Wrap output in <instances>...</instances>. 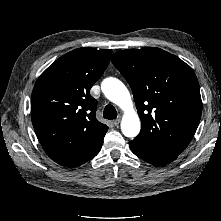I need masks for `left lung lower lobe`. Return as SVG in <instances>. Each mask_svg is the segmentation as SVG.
<instances>
[{"mask_svg": "<svg viewBox=\"0 0 221 221\" xmlns=\"http://www.w3.org/2000/svg\"><path fill=\"white\" fill-rule=\"evenodd\" d=\"M129 146L132 152L138 156L139 158L145 160L146 162L154 165H164L169 162H172L177 158L179 154L166 152V151H159V150H151L142 148L129 143Z\"/></svg>", "mask_w": 221, "mask_h": 221, "instance_id": "0a47b994", "label": "left lung lower lobe"}]
</instances>
